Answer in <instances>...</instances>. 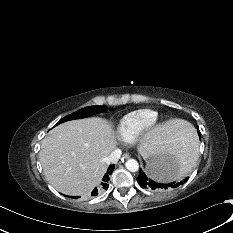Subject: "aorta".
Wrapping results in <instances>:
<instances>
[{
    "label": "aorta",
    "instance_id": "1",
    "mask_svg": "<svg viewBox=\"0 0 233 233\" xmlns=\"http://www.w3.org/2000/svg\"><path fill=\"white\" fill-rule=\"evenodd\" d=\"M125 167L130 172H136L139 169V164L135 159H128L125 163Z\"/></svg>",
    "mask_w": 233,
    "mask_h": 233
}]
</instances>
